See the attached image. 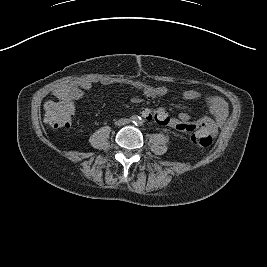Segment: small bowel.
<instances>
[{
	"mask_svg": "<svg viewBox=\"0 0 267 267\" xmlns=\"http://www.w3.org/2000/svg\"><path fill=\"white\" fill-rule=\"evenodd\" d=\"M89 88L90 86L88 84H83L81 91H76L70 96H62L61 98L65 102H68L70 97H78L82 95V92L88 91ZM134 88L139 90L148 99L162 97L167 93V89L163 86L153 87L137 84ZM200 96L201 94L196 90H187L182 93L181 98L186 101H193L199 99ZM204 99L212 118L203 116L198 120L192 121L190 115L186 112H181L177 117H172L164 108L152 109L149 107L143 108L141 115L148 121H153L159 125L173 129L184 132L200 131L215 136L226 119L228 112L227 104L222 98L217 96H205ZM132 100L134 102H140L142 98L134 95Z\"/></svg>",
	"mask_w": 267,
	"mask_h": 267,
	"instance_id": "1",
	"label": "small bowel"
}]
</instances>
